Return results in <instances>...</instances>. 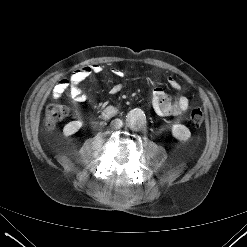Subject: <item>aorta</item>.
I'll use <instances>...</instances> for the list:
<instances>
[{
	"label": "aorta",
	"instance_id": "aorta-1",
	"mask_svg": "<svg viewBox=\"0 0 247 247\" xmlns=\"http://www.w3.org/2000/svg\"><path fill=\"white\" fill-rule=\"evenodd\" d=\"M146 117L141 109H132L126 115V124L132 130L140 131L144 128Z\"/></svg>",
	"mask_w": 247,
	"mask_h": 247
}]
</instances>
